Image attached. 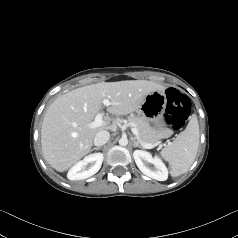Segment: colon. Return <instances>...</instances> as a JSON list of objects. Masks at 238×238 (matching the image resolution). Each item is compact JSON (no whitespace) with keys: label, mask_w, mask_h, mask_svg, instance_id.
<instances>
[{"label":"colon","mask_w":238,"mask_h":238,"mask_svg":"<svg viewBox=\"0 0 238 238\" xmlns=\"http://www.w3.org/2000/svg\"><path fill=\"white\" fill-rule=\"evenodd\" d=\"M166 100L164 122L168 127L175 130L180 129L189 116L190 100L175 88H168L166 90Z\"/></svg>","instance_id":"5ec220e1"}]
</instances>
